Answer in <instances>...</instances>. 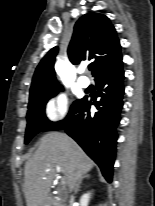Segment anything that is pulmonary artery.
<instances>
[{"instance_id": "pulmonary-artery-1", "label": "pulmonary artery", "mask_w": 155, "mask_h": 206, "mask_svg": "<svg viewBox=\"0 0 155 206\" xmlns=\"http://www.w3.org/2000/svg\"><path fill=\"white\" fill-rule=\"evenodd\" d=\"M78 83H79L80 86L86 88V87L89 86L90 80L88 79V77L82 75L78 78Z\"/></svg>"}]
</instances>
